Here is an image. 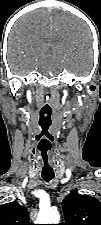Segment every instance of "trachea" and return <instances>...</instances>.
Returning <instances> with one entry per match:
<instances>
[{
	"label": "trachea",
	"instance_id": "obj_1",
	"mask_svg": "<svg viewBox=\"0 0 101 225\" xmlns=\"http://www.w3.org/2000/svg\"><path fill=\"white\" fill-rule=\"evenodd\" d=\"M43 179L46 181V182H49L50 180L53 179L54 175H51V176H42Z\"/></svg>",
	"mask_w": 101,
	"mask_h": 225
}]
</instances>
